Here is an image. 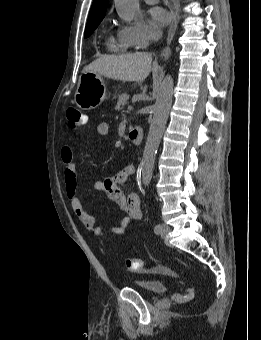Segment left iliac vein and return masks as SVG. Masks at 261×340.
I'll use <instances>...</instances> for the list:
<instances>
[{"mask_svg":"<svg viewBox=\"0 0 261 340\" xmlns=\"http://www.w3.org/2000/svg\"><path fill=\"white\" fill-rule=\"evenodd\" d=\"M170 231V228L166 224L161 225V230L158 232L162 237H165Z\"/></svg>","mask_w":261,"mask_h":340,"instance_id":"left-iliac-vein-1","label":"left iliac vein"}]
</instances>
